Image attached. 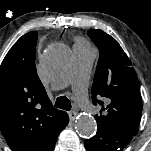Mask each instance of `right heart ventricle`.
Masks as SVG:
<instances>
[{"label": "right heart ventricle", "instance_id": "right-heart-ventricle-1", "mask_svg": "<svg viewBox=\"0 0 151 151\" xmlns=\"http://www.w3.org/2000/svg\"><path fill=\"white\" fill-rule=\"evenodd\" d=\"M77 44H84L82 40H77Z\"/></svg>", "mask_w": 151, "mask_h": 151}]
</instances>
